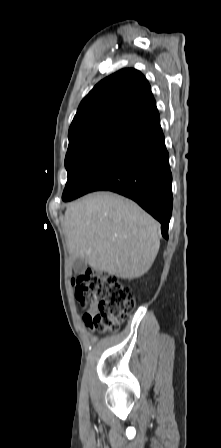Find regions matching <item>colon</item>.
I'll return each mask as SVG.
<instances>
[{
	"label": "colon",
	"instance_id": "obj_1",
	"mask_svg": "<svg viewBox=\"0 0 221 448\" xmlns=\"http://www.w3.org/2000/svg\"><path fill=\"white\" fill-rule=\"evenodd\" d=\"M72 286L78 306L87 308L86 325L100 332L116 328L134 306L132 289L107 272L89 268L73 276Z\"/></svg>",
	"mask_w": 221,
	"mask_h": 448
}]
</instances>
